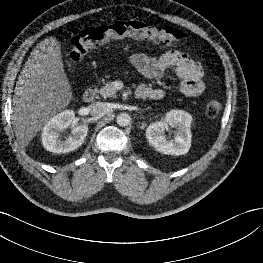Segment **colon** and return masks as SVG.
Returning <instances> with one entry per match:
<instances>
[{
	"mask_svg": "<svg viewBox=\"0 0 263 263\" xmlns=\"http://www.w3.org/2000/svg\"><path fill=\"white\" fill-rule=\"evenodd\" d=\"M126 38L178 45L183 41L184 34L171 27H153L136 21L91 27L80 31L71 39L70 58L73 63H76L90 50L111 41ZM221 109L222 103L217 98H210L206 102V114L211 118L216 117Z\"/></svg>",
	"mask_w": 263,
	"mask_h": 263,
	"instance_id": "colon-1",
	"label": "colon"
}]
</instances>
